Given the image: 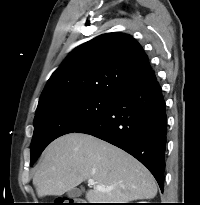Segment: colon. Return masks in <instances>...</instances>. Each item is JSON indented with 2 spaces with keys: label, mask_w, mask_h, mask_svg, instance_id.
Segmentation results:
<instances>
[{
  "label": "colon",
  "mask_w": 200,
  "mask_h": 205,
  "mask_svg": "<svg viewBox=\"0 0 200 205\" xmlns=\"http://www.w3.org/2000/svg\"><path fill=\"white\" fill-rule=\"evenodd\" d=\"M52 205H83L82 201L77 198H62Z\"/></svg>",
  "instance_id": "5ec220e1"
}]
</instances>
